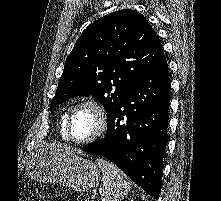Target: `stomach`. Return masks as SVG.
I'll return each mask as SVG.
<instances>
[{"instance_id": "obj_1", "label": "stomach", "mask_w": 221, "mask_h": 201, "mask_svg": "<svg viewBox=\"0 0 221 201\" xmlns=\"http://www.w3.org/2000/svg\"><path fill=\"white\" fill-rule=\"evenodd\" d=\"M25 172L32 180L59 183L85 192L100 180V170L92 161L72 151H55L45 148L34 152L26 160Z\"/></svg>"}]
</instances>
